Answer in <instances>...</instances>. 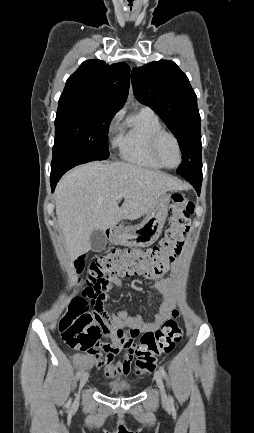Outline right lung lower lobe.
<instances>
[{"instance_id":"obj_1","label":"right lung lower lobe","mask_w":254,"mask_h":433,"mask_svg":"<svg viewBox=\"0 0 254 433\" xmlns=\"http://www.w3.org/2000/svg\"><path fill=\"white\" fill-rule=\"evenodd\" d=\"M86 162H90V159L83 158L81 155L71 150H65L60 153L53 154L50 176L52 192H54L57 182L65 172L76 165Z\"/></svg>"}]
</instances>
